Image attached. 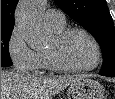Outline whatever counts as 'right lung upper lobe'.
Instances as JSON below:
<instances>
[{
	"mask_svg": "<svg viewBox=\"0 0 115 99\" xmlns=\"http://www.w3.org/2000/svg\"><path fill=\"white\" fill-rule=\"evenodd\" d=\"M18 0H1V28H14V11Z\"/></svg>",
	"mask_w": 115,
	"mask_h": 99,
	"instance_id": "cb5924a9",
	"label": "right lung upper lobe"
}]
</instances>
